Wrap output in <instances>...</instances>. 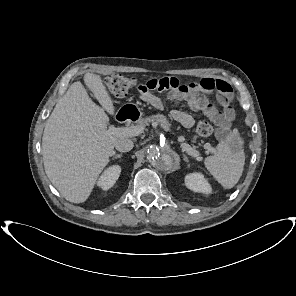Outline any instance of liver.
<instances>
[{"mask_svg":"<svg viewBox=\"0 0 296 296\" xmlns=\"http://www.w3.org/2000/svg\"><path fill=\"white\" fill-rule=\"evenodd\" d=\"M84 82L102 108L91 100L80 81L74 82L57 102L42 137L45 172L72 203L88 199L99 174L115 154L116 141L125 138L108 133L105 111L113 115L115 109L101 77L88 72Z\"/></svg>","mask_w":296,"mask_h":296,"instance_id":"6515ba94","label":"liver"}]
</instances>
